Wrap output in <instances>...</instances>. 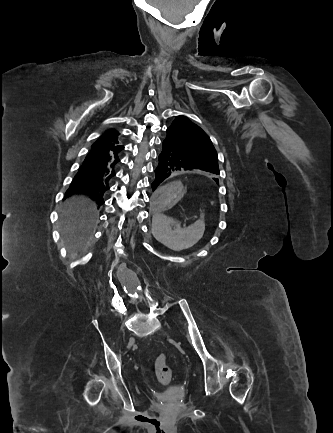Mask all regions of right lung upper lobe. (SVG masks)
Returning <instances> with one entry per match:
<instances>
[{
  "label": "right lung upper lobe",
  "mask_w": 333,
  "mask_h": 433,
  "mask_svg": "<svg viewBox=\"0 0 333 433\" xmlns=\"http://www.w3.org/2000/svg\"><path fill=\"white\" fill-rule=\"evenodd\" d=\"M119 133L116 130H108L106 131L99 139L97 140L101 144L115 146L119 145L120 139L118 138Z\"/></svg>",
  "instance_id": "right-lung-upper-lobe-1"
}]
</instances>
